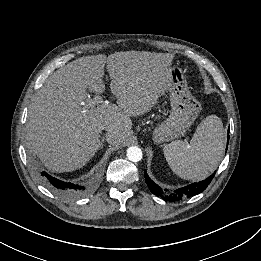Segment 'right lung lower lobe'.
Here are the masks:
<instances>
[{"mask_svg": "<svg viewBox=\"0 0 261 261\" xmlns=\"http://www.w3.org/2000/svg\"><path fill=\"white\" fill-rule=\"evenodd\" d=\"M41 176L45 181V183L51 189H53L54 191L58 192L61 195L68 196V197H78L86 192L84 186L61 181L47 174L45 171L41 172Z\"/></svg>", "mask_w": 261, "mask_h": 261, "instance_id": "98d812e1", "label": "right lung lower lobe"}]
</instances>
